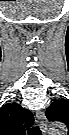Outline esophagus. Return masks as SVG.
I'll use <instances>...</instances> for the list:
<instances>
[{"instance_id": "esophagus-1", "label": "esophagus", "mask_w": 69, "mask_h": 135, "mask_svg": "<svg viewBox=\"0 0 69 135\" xmlns=\"http://www.w3.org/2000/svg\"><path fill=\"white\" fill-rule=\"evenodd\" d=\"M36 119H37V122H38L39 127L41 128V130L43 132H45L47 130V120H46L44 112L43 111H38L36 113Z\"/></svg>"}]
</instances>
